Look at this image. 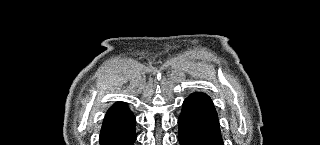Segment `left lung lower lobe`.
<instances>
[{"instance_id": "left-lung-lower-lobe-1", "label": "left lung lower lobe", "mask_w": 320, "mask_h": 145, "mask_svg": "<svg viewBox=\"0 0 320 145\" xmlns=\"http://www.w3.org/2000/svg\"><path fill=\"white\" fill-rule=\"evenodd\" d=\"M178 124L180 145H223L217 112L205 93L185 99Z\"/></svg>"}]
</instances>
